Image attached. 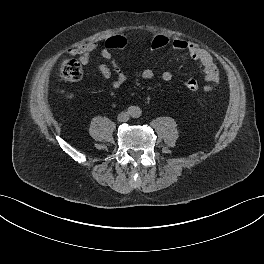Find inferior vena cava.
I'll return each mask as SVG.
<instances>
[{"mask_svg": "<svg viewBox=\"0 0 264 264\" xmlns=\"http://www.w3.org/2000/svg\"><path fill=\"white\" fill-rule=\"evenodd\" d=\"M118 121L119 122H125L129 119V114L128 112H121L119 115H118Z\"/></svg>", "mask_w": 264, "mask_h": 264, "instance_id": "inferior-vena-cava-1", "label": "inferior vena cava"}]
</instances>
